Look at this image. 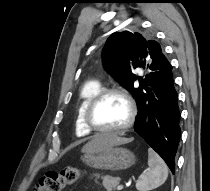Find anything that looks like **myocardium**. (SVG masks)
<instances>
[{
    "label": "myocardium",
    "instance_id": "myocardium-1",
    "mask_svg": "<svg viewBox=\"0 0 210 191\" xmlns=\"http://www.w3.org/2000/svg\"><path fill=\"white\" fill-rule=\"evenodd\" d=\"M108 95H118L122 97L128 105V109H129L128 120L126 121L124 125L118 128H113V129L101 128L98 125H96V123L93 120V113L96 106L104 97ZM136 113H137V109H136L135 102L133 101V99L130 97V95L127 92H125L124 90L120 88H106V89L100 90L90 100V102L88 103L85 109L83 119H84V123L86 127L93 132L103 133V134H118L129 129L133 125L136 118Z\"/></svg>",
    "mask_w": 210,
    "mask_h": 191
}]
</instances>
